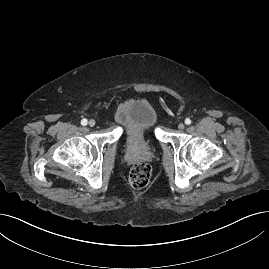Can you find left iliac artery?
Listing matches in <instances>:
<instances>
[{
  "label": "left iliac artery",
  "mask_w": 269,
  "mask_h": 269,
  "mask_svg": "<svg viewBox=\"0 0 269 269\" xmlns=\"http://www.w3.org/2000/svg\"><path fill=\"white\" fill-rule=\"evenodd\" d=\"M185 124L190 125V124H191V120H190L189 118H187V119L185 120Z\"/></svg>",
  "instance_id": "left-iliac-artery-1"
}]
</instances>
